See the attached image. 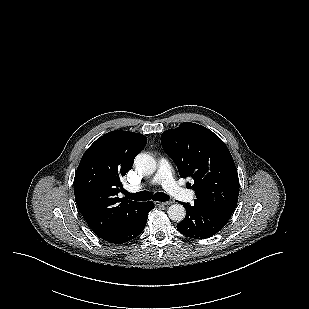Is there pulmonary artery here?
Wrapping results in <instances>:
<instances>
[{
	"mask_svg": "<svg viewBox=\"0 0 309 309\" xmlns=\"http://www.w3.org/2000/svg\"><path fill=\"white\" fill-rule=\"evenodd\" d=\"M152 182H160L170 196L180 201L191 202L194 200V191L188 190L176 182L172 175L171 166L166 158H161L159 160L158 171ZM142 187L143 186L140 185L135 188L140 189Z\"/></svg>",
	"mask_w": 309,
	"mask_h": 309,
	"instance_id": "e3ab8cb5",
	"label": "pulmonary artery"
}]
</instances>
